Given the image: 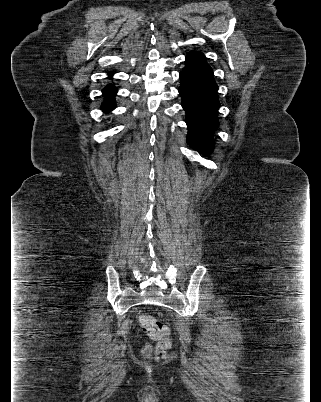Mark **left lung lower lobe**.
<instances>
[{"label":"left lung lower lobe","mask_w":321,"mask_h":402,"mask_svg":"<svg viewBox=\"0 0 321 402\" xmlns=\"http://www.w3.org/2000/svg\"><path fill=\"white\" fill-rule=\"evenodd\" d=\"M179 76V93L187 114V142L195 150L212 152L220 107L213 70L207 64L204 54L192 51L186 56L185 67Z\"/></svg>","instance_id":"obj_1"}]
</instances>
